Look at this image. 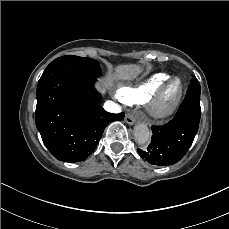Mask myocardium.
Listing matches in <instances>:
<instances>
[{
	"label": "myocardium",
	"mask_w": 229,
	"mask_h": 229,
	"mask_svg": "<svg viewBox=\"0 0 229 229\" xmlns=\"http://www.w3.org/2000/svg\"><path fill=\"white\" fill-rule=\"evenodd\" d=\"M176 85L178 88L174 90ZM184 94L185 87L181 79H171L153 101L152 115L155 118H166L172 115L179 107Z\"/></svg>",
	"instance_id": "myocardium-1"
}]
</instances>
